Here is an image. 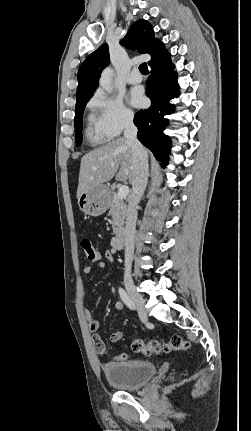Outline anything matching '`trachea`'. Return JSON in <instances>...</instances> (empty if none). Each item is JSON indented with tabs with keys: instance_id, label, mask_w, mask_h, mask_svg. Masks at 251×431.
I'll return each instance as SVG.
<instances>
[{
	"instance_id": "3493384b",
	"label": "trachea",
	"mask_w": 251,
	"mask_h": 431,
	"mask_svg": "<svg viewBox=\"0 0 251 431\" xmlns=\"http://www.w3.org/2000/svg\"><path fill=\"white\" fill-rule=\"evenodd\" d=\"M139 70H140V72H141L142 74H149V70H148V67H147V64H146V63H142V64L139 66Z\"/></svg>"
}]
</instances>
